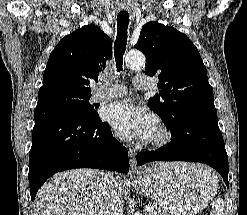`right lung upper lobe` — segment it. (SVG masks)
<instances>
[{"label": "right lung upper lobe", "instance_id": "1", "mask_svg": "<svg viewBox=\"0 0 247 215\" xmlns=\"http://www.w3.org/2000/svg\"><path fill=\"white\" fill-rule=\"evenodd\" d=\"M111 50L110 37L97 26L86 25L75 30L51 52L42 89L66 88L91 95L90 80L98 81L105 61L112 57Z\"/></svg>", "mask_w": 247, "mask_h": 215}]
</instances>
